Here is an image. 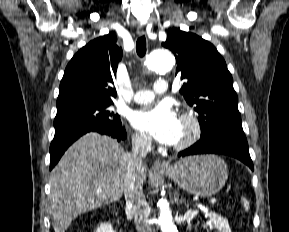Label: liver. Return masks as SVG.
<instances>
[{"label":"liver","instance_id":"obj_1","mask_svg":"<svg viewBox=\"0 0 289 232\" xmlns=\"http://www.w3.org/2000/svg\"><path fill=\"white\" fill-rule=\"evenodd\" d=\"M126 154L116 139L96 132L69 147L49 179V214L55 232H65L79 215L122 197ZM136 174L143 184L146 168Z\"/></svg>","mask_w":289,"mask_h":232}]
</instances>
